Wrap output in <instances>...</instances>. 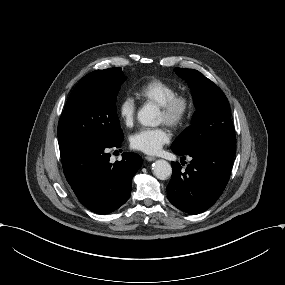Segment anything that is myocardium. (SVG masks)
<instances>
[{
    "mask_svg": "<svg viewBox=\"0 0 285 285\" xmlns=\"http://www.w3.org/2000/svg\"><path fill=\"white\" fill-rule=\"evenodd\" d=\"M193 100L189 92L176 90L163 103L159 104L165 116V123L171 127L183 124L190 115Z\"/></svg>",
    "mask_w": 285,
    "mask_h": 285,
    "instance_id": "1",
    "label": "myocardium"
}]
</instances>
